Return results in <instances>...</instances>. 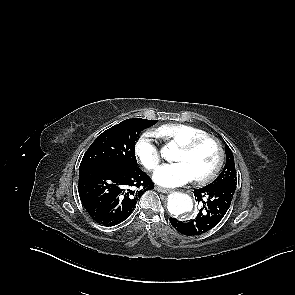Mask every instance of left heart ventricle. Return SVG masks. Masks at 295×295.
Segmentation results:
<instances>
[{
  "label": "left heart ventricle",
  "instance_id": "left-heart-ventricle-1",
  "mask_svg": "<svg viewBox=\"0 0 295 295\" xmlns=\"http://www.w3.org/2000/svg\"><path fill=\"white\" fill-rule=\"evenodd\" d=\"M175 160L186 163L195 178H198L207 175L213 170L218 160V150L215 143L206 141L191 153L180 149Z\"/></svg>",
  "mask_w": 295,
  "mask_h": 295
}]
</instances>
